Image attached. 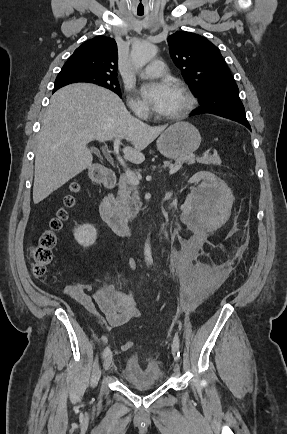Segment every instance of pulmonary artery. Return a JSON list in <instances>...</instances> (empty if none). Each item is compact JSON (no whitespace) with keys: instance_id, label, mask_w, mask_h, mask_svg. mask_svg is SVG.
Wrapping results in <instances>:
<instances>
[{"instance_id":"e3ab8cb5","label":"pulmonary artery","mask_w":287,"mask_h":434,"mask_svg":"<svg viewBox=\"0 0 287 434\" xmlns=\"http://www.w3.org/2000/svg\"><path fill=\"white\" fill-rule=\"evenodd\" d=\"M164 73H165V66L163 61L154 60L140 72V77L153 78V77L162 76L164 75Z\"/></svg>"}]
</instances>
